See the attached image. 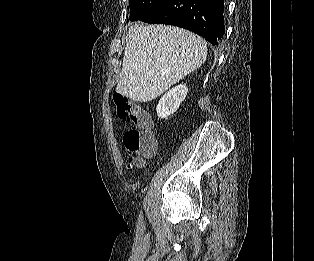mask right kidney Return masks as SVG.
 I'll use <instances>...</instances> for the list:
<instances>
[{
  "instance_id": "right-kidney-1",
  "label": "right kidney",
  "mask_w": 314,
  "mask_h": 261,
  "mask_svg": "<svg viewBox=\"0 0 314 261\" xmlns=\"http://www.w3.org/2000/svg\"><path fill=\"white\" fill-rule=\"evenodd\" d=\"M187 93L188 88L186 85L180 84L170 89L161 97L156 107L158 117L164 119L173 114L184 101Z\"/></svg>"
}]
</instances>
